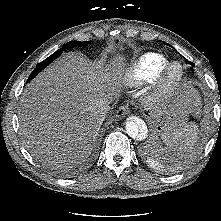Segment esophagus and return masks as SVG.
I'll use <instances>...</instances> for the list:
<instances>
[{
    "mask_svg": "<svg viewBox=\"0 0 221 221\" xmlns=\"http://www.w3.org/2000/svg\"><path fill=\"white\" fill-rule=\"evenodd\" d=\"M130 110L127 105L120 106L116 112V117L117 118H122L125 117L129 114Z\"/></svg>",
    "mask_w": 221,
    "mask_h": 221,
    "instance_id": "34e87169",
    "label": "esophagus"
}]
</instances>
